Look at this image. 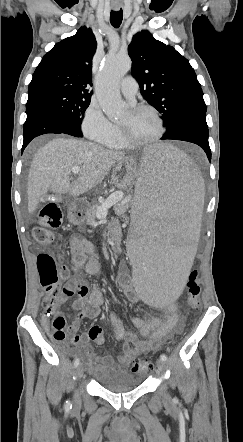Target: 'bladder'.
<instances>
[{"label": "bladder", "mask_w": 243, "mask_h": 442, "mask_svg": "<svg viewBox=\"0 0 243 442\" xmlns=\"http://www.w3.org/2000/svg\"><path fill=\"white\" fill-rule=\"evenodd\" d=\"M95 381L103 389L114 393L128 392L141 384V379L127 370H109L104 373H97Z\"/></svg>", "instance_id": "bladder-1"}]
</instances>
